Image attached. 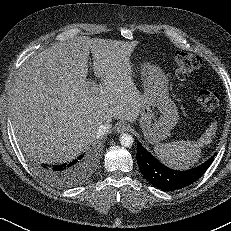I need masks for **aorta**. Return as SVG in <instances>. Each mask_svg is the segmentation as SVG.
<instances>
[{"label":"aorta","mask_w":231,"mask_h":231,"mask_svg":"<svg viewBox=\"0 0 231 231\" xmlns=\"http://www.w3.org/2000/svg\"><path fill=\"white\" fill-rule=\"evenodd\" d=\"M133 142H134V139L130 134H123L120 136V143L124 147L132 146Z\"/></svg>","instance_id":"aorta-1"}]
</instances>
